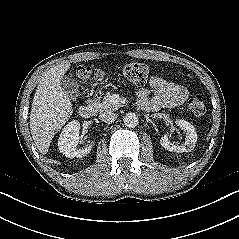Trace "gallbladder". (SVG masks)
Returning a JSON list of instances; mask_svg holds the SVG:
<instances>
[{
	"mask_svg": "<svg viewBox=\"0 0 239 239\" xmlns=\"http://www.w3.org/2000/svg\"><path fill=\"white\" fill-rule=\"evenodd\" d=\"M61 87L67 95L76 99L79 96V88L77 82L71 77L65 76L61 79Z\"/></svg>",
	"mask_w": 239,
	"mask_h": 239,
	"instance_id": "obj_1",
	"label": "gallbladder"
}]
</instances>
